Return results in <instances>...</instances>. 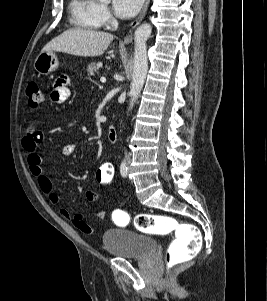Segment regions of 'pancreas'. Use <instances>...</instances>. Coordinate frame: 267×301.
Listing matches in <instances>:
<instances>
[{
    "mask_svg": "<svg viewBox=\"0 0 267 301\" xmlns=\"http://www.w3.org/2000/svg\"><path fill=\"white\" fill-rule=\"evenodd\" d=\"M102 66L101 63H90L87 67H86V72L89 76H94L96 74H98V70L99 68Z\"/></svg>",
    "mask_w": 267,
    "mask_h": 301,
    "instance_id": "1",
    "label": "pancreas"
}]
</instances>
